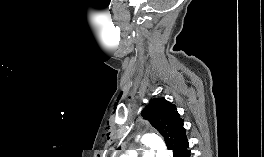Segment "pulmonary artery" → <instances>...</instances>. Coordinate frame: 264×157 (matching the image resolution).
Listing matches in <instances>:
<instances>
[{
  "label": "pulmonary artery",
  "instance_id": "e3ab8cb5",
  "mask_svg": "<svg viewBox=\"0 0 264 157\" xmlns=\"http://www.w3.org/2000/svg\"><path fill=\"white\" fill-rule=\"evenodd\" d=\"M142 157H153V153L151 151L145 150L143 152V156Z\"/></svg>",
  "mask_w": 264,
  "mask_h": 157
}]
</instances>
